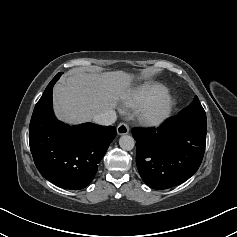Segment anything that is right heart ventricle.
<instances>
[{"label":"right heart ventricle","instance_id":"obj_1","mask_svg":"<svg viewBox=\"0 0 237 237\" xmlns=\"http://www.w3.org/2000/svg\"><path fill=\"white\" fill-rule=\"evenodd\" d=\"M168 93V89L159 83H144L131 89L123 99L127 108L143 107L148 102L162 97Z\"/></svg>","mask_w":237,"mask_h":237}]
</instances>
